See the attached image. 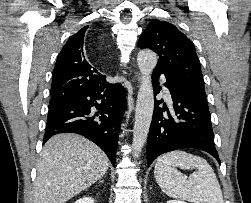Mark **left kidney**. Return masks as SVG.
<instances>
[{
	"mask_svg": "<svg viewBox=\"0 0 251 203\" xmlns=\"http://www.w3.org/2000/svg\"><path fill=\"white\" fill-rule=\"evenodd\" d=\"M166 203H186L184 201H179V200H169Z\"/></svg>",
	"mask_w": 251,
	"mask_h": 203,
	"instance_id": "obj_1",
	"label": "left kidney"
}]
</instances>
